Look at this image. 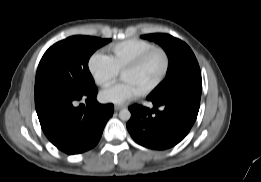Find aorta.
Instances as JSON below:
<instances>
[{"instance_id": "1", "label": "aorta", "mask_w": 261, "mask_h": 182, "mask_svg": "<svg viewBox=\"0 0 261 182\" xmlns=\"http://www.w3.org/2000/svg\"><path fill=\"white\" fill-rule=\"evenodd\" d=\"M119 118L122 120V121H128L130 118H131V113L128 109H122L120 112H119Z\"/></svg>"}]
</instances>
